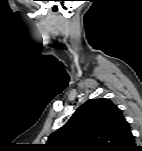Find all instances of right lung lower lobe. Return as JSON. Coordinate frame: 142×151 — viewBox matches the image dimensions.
<instances>
[{
    "label": "right lung lower lobe",
    "mask_w": 142,
    "mask_h": 151,
    "mask_svg": "<svg viewBox=\"0 0 142 151\" xmlns=\"http://www.w3.org/2000/svg\"><path fill=\"white\" fill-rule=\"evenodd\" d=\"M142 147H137L134 144V141L128 146V148L122 150V151H134V150H141Z\"/></svg>",
    "instance_id": "98d812e1"
}]
</instances>
